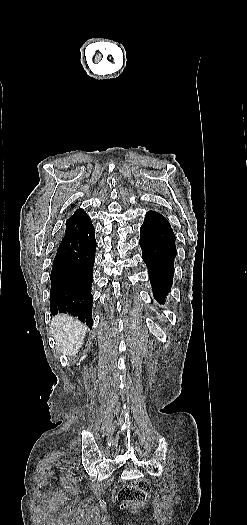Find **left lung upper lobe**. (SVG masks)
<instances>
[{"label":"left lung upper lobe","mask_w":247,"mask_h":525,"mask_svg":"<svg viewBox=\"0 0 247 525\" xmlns=\"http://www.w3.org/2000/svg\"><path fill=\"white\" fill-rule=\"evenodd\" d=\"M149 212H152V213H158V212H155V211H149ZM159 214V213H158Z\"/></svg>","instance_id":"1"}]
</instances>
